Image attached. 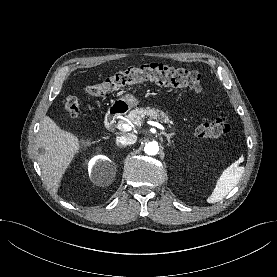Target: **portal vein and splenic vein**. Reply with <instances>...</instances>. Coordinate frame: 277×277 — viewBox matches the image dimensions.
Returning <instances> with one entry per match:
<instances>
[{"label":"portal vein and splenic vein","mask_w":277,"mask_h":277,"mask_svg":"<svg viewBox=\"0 0 277 277\" xmlns=\"http://www.w3.org/2000/svg\"><path fill=\"white\" fill-rule=\"evenodd\" d=\"M149 124L161 129V130H165L164 126H162L160 123L155 122V121H149ZM117 128L123 131H130L131 130V126L128 124H118Z\"/></svg>","instance_id":"18ae733b"}]
</instances>
